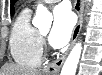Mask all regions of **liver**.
Returning <instances> with one entry per match:
<instances>
[{
  "instance_id": "liver-1",
  "label": "liver",
  "mask_w": 102,
  "mask_h": 75,
  "mask_svg": "<svg viewBox=\"0 0 102 75\" xmlns=\"http://www.w3.org/2000/svg\"><path fill=\"white\" fill-rule=\"evenodd\" d=\"M0 75H43L38 70H30L16 64H5L0 69Z\"/></svg>"
}]
</instances>
